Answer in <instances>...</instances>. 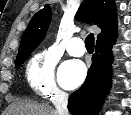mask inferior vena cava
Listing matches in <instances>:
<instances>
[{"mask_svg":"<svg viewBox=\"0 0 131 115\" xmlns=\"http://www.w3.org/2000/svg\"><path fill=\"white\" fill-rule=\"evenodd\" d=\"M52 102L56 108L57 115H69L67 108L68 94L59 92L54 95Z\"/></svg>","mask_w":131,"mask_h":115,"instance_id":"602c4592","label":"inferior vena cava"}]
</instances>
